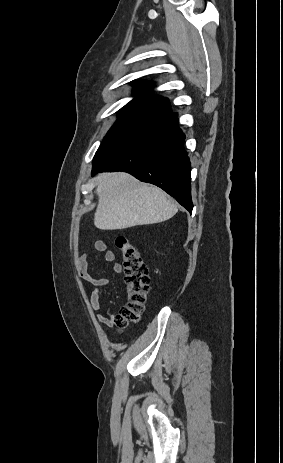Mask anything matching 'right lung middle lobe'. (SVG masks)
<instances>
[{"label": "right lung middle lobe", "instance_id": "dd1d6c3e", "mask_svg": "<svg viewBox=\"0 0 283 463\" xmlns=\"http://www.w3.org/2000/svg\"><path fill=\"white\" fill-rule=\"evenodd\" d=\"M160 116L162 114L157 110L131 102L128 103L119 111L117 121L108 131L96 154L123 136L146 126Z\"/></svg>", "mask_w": 283, "mask_h": 463}]
</instances>
